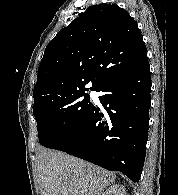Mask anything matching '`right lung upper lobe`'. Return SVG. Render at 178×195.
<instances>
[{"label": "right lung upper lobe", "instance_id": "1", "mask_svg": "<svg viewBox=\"0 0 178 195\" xmlns=\"http://www.w3.org/2000/svg\"><path fill=\"white\" fill-rule=\"evenodd\" d=\"M148 61L137 23L116 4L90 6L47 45L34 87V107L107 82Z\"/></svg>", "mask_w": 178, "mask_h": 195}]
</instances>
